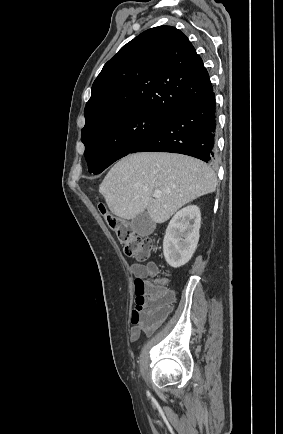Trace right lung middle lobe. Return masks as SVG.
Here are the masks:
<instances>
[{"label": "right lung middle lobe", "instance_id": "dd1d6c3e", "mask_svg": "<svg viewBox=\"0 0 283 434\" xmlns=\"http://www.w3.org/2000/svg\"><path fill=\"white\" fill-rule=\"evenodd\" d=\"M170 116L153 111H135L107 119L82 130L84 156L90 173L99 174L129 154Z\"/></svg>", "mask_w": 283, "mask_h": 434}]
</instances>
